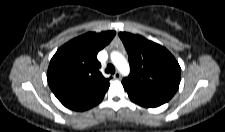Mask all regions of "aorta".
Segmentation results:
<instances>
[{"mask_svg": "<svg viewBox=\"0 0 225 132\" xmlns=\"http://www.w3.org/2000/svg\"><path fill=\"white\" fill-rule=\"evenodd\" d=\"M110 58L114 66L120 71L124 76H127L130 72L129 64L125 57L117 51H113L110 54Z\"/></svg>", "mask_w": 225, "mask_h": 132, "instance_id": "762f6f07", "label": "aorta"}]
</instances>
